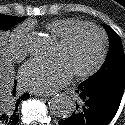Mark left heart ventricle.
<instances>
[{
  "instance_id": "left-heart-ventricle-1",
  "label": "left heart ventricle",
  "mask_w": 125,
  "mask_h": 125,
  "mask_svg": "<svg viewBox=\"0 0 125 125\" xmlns=\"http://www.w3.org/2000/svg\"><path fill=\"white\" fill-rule=\"evenodd\" d=\"M100 46L99 34L86 28L80 30L66 47L57 43L53 57H61L72 73L83 71L95 63Z\"/></svg>"
}]
</instances>
